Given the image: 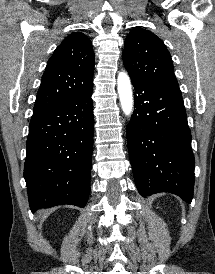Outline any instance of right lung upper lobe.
Returning a JSON list of instances; mask_svg holds the SVG:
<instances>
[{
    "mask_svg": "<svg viewBox=\"0 0 215 274\" xmlns=\"http://www.w3.org/2000/svg\"><path fill=\"white\" fill-rule=\"evenodd\" d=\"M92 43L81 32L67 36L49 59L33 115L46 111L93 85Z\"/></svg>",
    "mask_w": 215,
    "mask_h": 274,
    "instance_id": "cb5924a9",
    "label": "right lung upper lobe"
}]
</instances>
